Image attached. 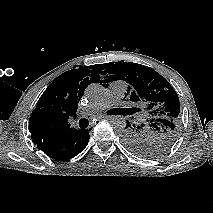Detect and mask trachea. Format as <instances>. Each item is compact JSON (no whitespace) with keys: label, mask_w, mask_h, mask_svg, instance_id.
<instances>
[{"label":"trachea","mask_w":213,"mask_h":213,"mask_svg":"<svg viewBox=\"0 0 213 213\" xmlns=\"http://www.w3.org/2000/svg\"><path fill=\"white\" fill-rule=\"evenodd\" d=\"M122 111L123 110H121V109H112V110H110L108 112V114H110V115H118V114H122L123 113ZM88 125H89V121L86 118H83V119L79 120V127L81 129L87 128Z\"/></svg>","instance_id":"trachea-1"}]
</instances>
